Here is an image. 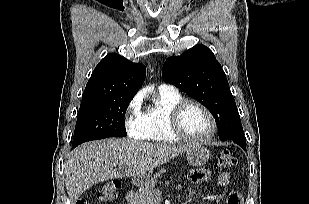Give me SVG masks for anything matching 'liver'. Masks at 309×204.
I'll list each match as a JSON object with an SVG mask.
<instances>
[{
  "instance_id": "liver-1",
  "label": "liver",
  "mask_w": 309,
  "mask_h": 204,
  "mask_svg": "<svg viewBox=\"0 0 309 204\" xmlns=\"http://www.w3.org/2000/svg\"><path fill=\"white\" fill-rule=\"evenodd\" d=\"M188 148L128 138L84 143L75 148L65 162V185L70 200L76 202L84 191L98 183L146 174Z\"/></svg>"
}]
</instances>
